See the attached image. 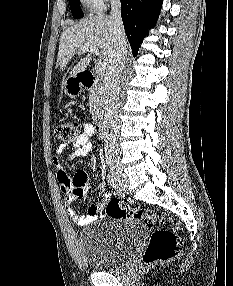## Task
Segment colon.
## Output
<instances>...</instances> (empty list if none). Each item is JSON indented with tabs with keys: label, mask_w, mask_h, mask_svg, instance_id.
Here are the masks:
<instances>
[{
	"label": "colon",
	"mask_w": 233,
	"mask_h": 286,
	"mask_svg": "<svg viewBox=\"0 0 233 286\" xmlns=\"http://www.w3.org/2000/svg\"><path fill=\"white\" fill-rule=\"evenodd\" d=\"M79 129L80 122L77 118L60 120L55 124L54 135L63 143H73L78 137ZM105 213L114 219H137L147 227L155 229L143 254V262L146 265L166 263L174 259L182 249V240L176 233L177 225L164 227V220L159 221L152 210H143L132 203L112 198L105 206Z\"/></svg>",
	"instance_id": "1"
}]
</instances>
